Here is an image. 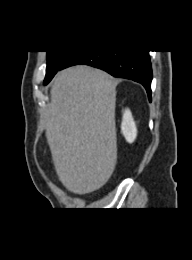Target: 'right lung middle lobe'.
<instances>
[{"label":"right lung middle lobe","instance_id":"obj_1","mask_svg":"<svg viewBox=\"0 0 192 260\" xmlns=\"http://www.w3.org/2000/svg\"><path fill=\"white\" fill-rule=\"evenodd\" d=\"M73 53L74 52L72 51H47V69L44 84L45 82L51 80L57 71L62 69L64 63Z\"/></svg>","mask_w":192,"mask_h":260}]
</instances>
